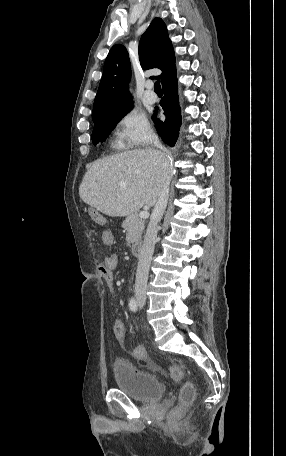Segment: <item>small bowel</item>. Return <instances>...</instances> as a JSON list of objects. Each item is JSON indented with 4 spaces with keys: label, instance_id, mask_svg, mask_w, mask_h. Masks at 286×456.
Here are the masks:
<instances>
[{
    "label": "small bowel",
    "instance_id": "c3829d8e",
    "mask_svg": "<svg viewBox=\"0 0 286 456\" xmlns=\"http://www.w3.org/2000/svg\"><path fill=\"white\" fill-rule=\"evenodd\" d=\"M102 239H103V242L107 245H110L113 243V236H112V233L109 231H104L102 233ZM118 265H119V256L116 254H112V255L106 256L105 259L103 260V262L98 266V272H99L100 276L107 283L108 288L112 295H114L113 272L118 267ZM112 331H113V335L116 340H121L123 338L124 324L121 321V319H119V318L115 319V321L113 323ZM137 347H141L144 349L143 346H137Z\"/></svg>",
    "mask_w": 286,
    "mask_h": 456
}]
</instances>
